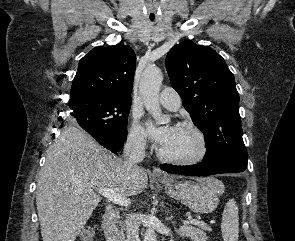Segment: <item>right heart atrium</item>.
<instances>
[{"label": "right heart atrium", "mask_w": 295, "mask_h": 241, "mask_svg": "<svg viewBox=\"0 0 295 241\" xmlns=\"http://www.w3.org/2000/svg\"><path fill=\"white\" fill-rule=\"evenodd\" d=\"M128 142L136 149L143 150L146 148L147 141L145 131L136 118L133 119L129 130Z\"/></svg>", "instance_id": "d8ad5b80"}]
</instances>
